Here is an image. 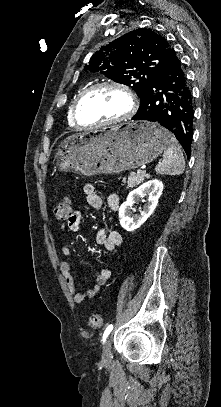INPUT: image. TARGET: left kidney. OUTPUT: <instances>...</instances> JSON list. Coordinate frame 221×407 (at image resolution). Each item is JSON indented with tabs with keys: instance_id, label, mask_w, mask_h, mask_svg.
<instances>
[{
	"instance_id": "obj_1",
	"label": "left kidney",
	"mask_w": 221,
	"mask_h": 407,
	"mask_svg": "<svg viewBox=\"0 0 221 407\" xmlns=\"http://www.w3.org/2000/svg\"><path fill=\"white\" fill-rule=\"evenodd\" d=\"M163 187L161 181L154 179L132 190L119 208L120 225L127 231H134L139 228L154 212ZM145 196H148L147 204L144 205L143 210H140V215L133 216L132 206Z\"/></svg>"
}]
</instances>
